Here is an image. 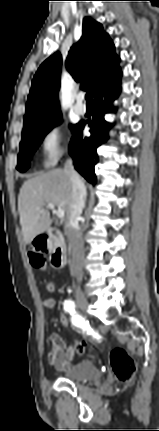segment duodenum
<instances>
[{
  "instance_id": "obj_1",
  "label": "duodenum",
  "mask_w": 159,
  "mask_h": 431,
  "mask_svg": "<svg viewBox=\"0 0 159 431\" xmlns=\"http://www.w3.org/2000/svg\"><path fill=\"white\" fill-rule=\"evenodd\" d=\"M40 241L52 244L51 265L56 269L62 268L66 260V246L61 232L50 227L40 236Z\"/></svg>"
}]
</instances>
